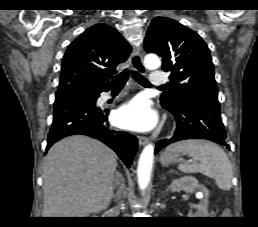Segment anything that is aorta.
<instances>
[{
	"label": "aorta",
	"instance_id": "762f6f07",
	"mask_svg": "<svg viewBox=\"0 0 258 227\" xmlns=\"http://www.w3.org/2000/svg\"><path fill=\"white\" fill-rule=\"evenodd\" d=\"M144 64L149 69H157L160 65V59L155 54H148L144 58ZM154 160V145L148 144L142 150L137 167V178L140 190L144 191L149 184Z\"/></svg>",
	"mask_w": 258,
	"mask_h": 227
}]
</instances>
